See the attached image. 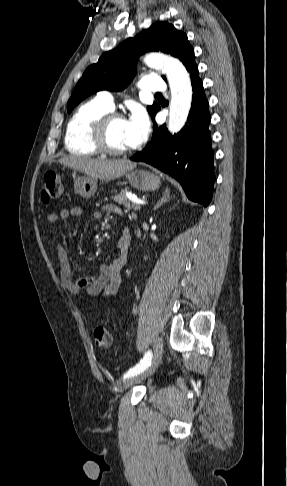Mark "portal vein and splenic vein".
Segmentation results:
<instances>
[{
	"label": "portal vein and splenic vein",
	"mask_w": 287,
	"mask_h": 486,
	"mask_svg": "<svg viewBox=\"0 0 287 486\" xmlns=\"http://www.w3.org/2000/svg\"><path fill=\"white\" fill-rule=\"evenodd\" d=\"M130 199L132 201V206H134V207H140V205H143L145 203V202H143L139 199L132 198L131 196H130Z\"/></svg>",
	"instance_id": "18ae733b"
}]
</instances>
